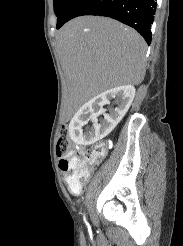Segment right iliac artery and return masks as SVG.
Segmentation results:
<instances>
[{
	"mask_svg": "<svg viewBox=\"0 0 183 246\" xmlns=\"http://www.w3.org/2000/svg\"><path fill=\"white\" fill-rule=\"evenodd\" d=\"M84 222L87 224V221H86V218H85V216H84Z\"/></svg>",
	"mask_w": 183,
	"mask_h": 246,
	"instance_id": "1",
	"label": "right iliac artery"
}]
</instances>
